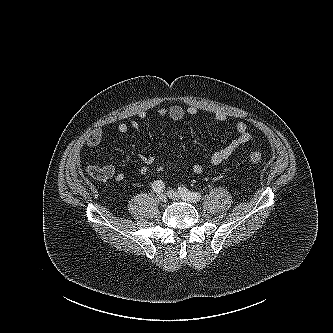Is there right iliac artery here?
I'll use <instances>...</instances> for the list:
<instances>
[{"label": "right iliac artery", "mask_w": 333, "mask_h": 333, "mask_svg": "<svg viewBox=\"0 0 333 333\" xmlns=\"http://www.w3.org/2000/svg\"><path fill=\"white\" fill-rule=\"evenodd\" d=\"M152 188L156 193H161L164 191L165 189V184L163 183V181L161 180H156L154 181V183L152 184Z\"/></svg>", "instance_id": "82829eb1"}]
</instances>
